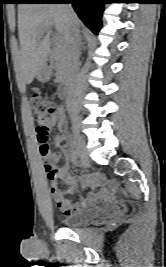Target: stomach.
Masks as SVG:
<instances>
[{
    "label": "stomach",
    "instance_id": "stomach-1",
    "mask_svg": "<svg viewBox=\"0 0 166 267\" xmlns=\"http://www.w3.org/2000/svg\"><path fill=\"white\" fill-rule=\"evenodd\" d=\"M36 76L38 81L46 82L50 79L51 69L48 66L43 65Z\"/></svg>",
    "mask_w": 166,
    "mask_h": 267
}]
</instances>
